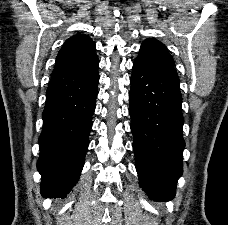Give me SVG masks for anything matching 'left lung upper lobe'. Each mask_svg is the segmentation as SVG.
<instances>
[{"mask_svg":"<svg viewBox=\"0 0 228 225\" xmlns=\"http://www.w3.org/2000/svg\"><path fill=\"white\" fill-rule=\"evenodd\" d=\"M139 56L150 63L158 66H174V59L168 53L165 45L156 39L148 38L146 39L139 51Z\"/></svg>","mask_w":228,"mask_h":225,"instance_id":"obj_1","label":"left lung upper lobe"}]
</instances>
